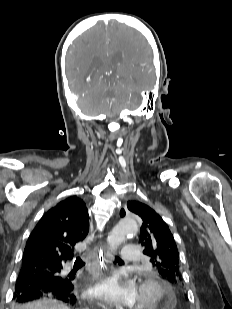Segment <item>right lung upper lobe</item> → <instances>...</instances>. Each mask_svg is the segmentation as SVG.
Masks as SVG:
<instances>
[{
  "label": "right lung upper lobe",
  "mask_w": 232,
  "mask_h": 309,
  "mask_svg": "<svg viewBox=\"0 0 232 309\" xmlns=\"http://www.w3.org/2000/svg\"><path fill=\"white\" fill-rule=\"evenodd\" d=\"M89 231L88 211L76 196L49 209L31 232L22 263H33L40 272H57L62 263L71 260L76 243Z\"/></svg>",
  "instance_id": "1"
}]
</instances>
